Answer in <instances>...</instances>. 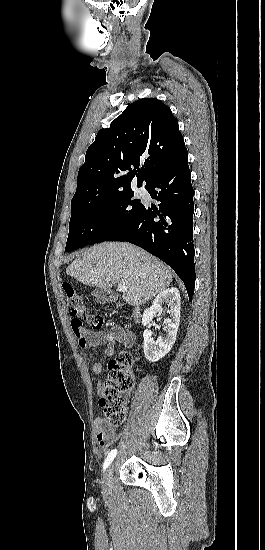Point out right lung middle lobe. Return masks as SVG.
I'll return each instance as SVG.
<instances>
[{
  "mask_svg": "<svg viewBox=\"0 0 265 550\" xmlns=\"http://www.w3.org/2000/svg\"><path fill=\"white\" fill-rule=\"evenodd\" d=\"M132 190L91 199L73 198L65 251L105 241L135 219L145 207Z\"/></svg>",
  "mask_w": 265,
  "mask_h": 550,
  "instance_id": "obj_1",
  "label": "right lung middle lobe"
}]
</instances>
